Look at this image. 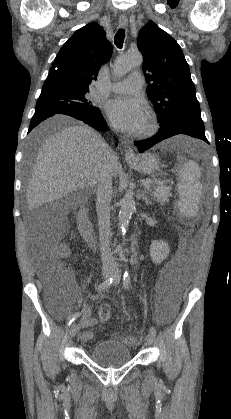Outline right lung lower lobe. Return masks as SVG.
I'll return each mask as SVG.
<instances>
[{
  "label": "right lung lower lobe",
  "mask_w": 231,
  "mask_h": 419,
  "mask_svg": "<svg viewBox=\"0 0 231 419\" xmlns=\"http://www.w3.org/2000/svg\"><path fill=\"white\" fill-rule=\"evenodd\" d=\"M54 115H60L57 113H52L49 111H37L35 112V114L32 117L31 123H30V127L28 130V133L36 126L38 125L41 121L54 116ZM78 120H81L83 122H85L86 124H89L90 126L94 127L95 129L99 130V131H106L107 128V124L103 118V116L101 115V113L95 114L93 116L84 118V117H74Z\"/></svg>",
  "instance_id": "right-lung-lower-lobe-1"
}]
</instances>
